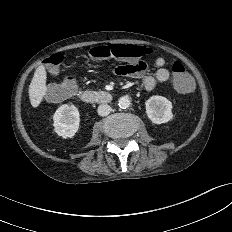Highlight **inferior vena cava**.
Listing matches in <instances>:
<instances>
[{
	"instance_id": "inferior-vena-cava-1",
	"label": "inferior vena cava",
	"mask_w": 232,
	"mask_h": 232,
	"mask_svg": "<svg viewBox=\"0 0 232 232\" xmlns=\"http://www.w3.org/2000/svg\"><path fill=\"white\" fill-rule=\"evenodd\" d=\"M111 107L107 104H101L98 106V114L100 116H106L110 113Z\"/></svg>"
}]
</instances>
